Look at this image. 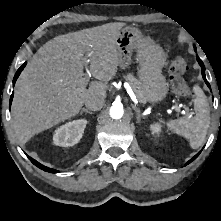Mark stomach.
Masks as SVG:
<instances>
[{
  "mask_svg": "<svg viewBox=\"0 0 221 221\" xmlns=\"http://www.w3.org/2000/svg\"><path fill=\"white\" fill-rule=\"evenodd\" d=\"M116 47L121 68L129 66L132 54L136 52V60L140 66L139 83L144 101L150 103L162 101L168 93V85L162 74L166 61L163 49L133 26L121 29L116 39Z\"/></svg>",
  "mask_w": 221,
  "mask_h": 221,
  "instance_id": "obj_1",
  "label": "stomach"
}]
</instances>
